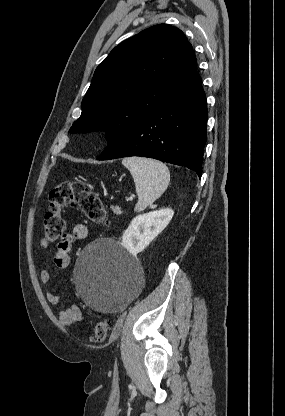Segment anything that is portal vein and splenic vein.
Masks as SVG:
<instances>
[{
    "label": "portal vein and splenic vein",
    "instance_id": "obj_1",
    "mask_svg": "<svg viewBox=\"0 0 285 416\" xmlns=\"http://www.w3.org/2000/svg\"><path fill=\"white\" fill-rule=\"evenodd\" d=\"M128 200H133V198H128Z\"/></svg>",
    "mask_w": 285,
    "mask_h": 416
}]
</instances>
